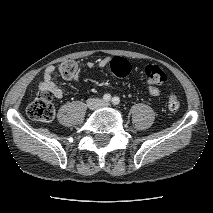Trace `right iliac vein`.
Instances as JSON below:
<instances>
[{
    "label": "right iliac vein",
    "instance_id": "63e3f726",
    "mask_svg": "<svg viewBox=\"0 0 213 213\" xmlns=\"http://www.w3.org/2000/svg\"><path fill=\"white\" fill-rule=\"evenodd\" d=\"M96 105H97V102L96 101H94V102H92L91 104H90V108H95L96 107Z\"/></svg>",
    "mask_w": 213,
    "mask_h": 213
}]
</instances>
